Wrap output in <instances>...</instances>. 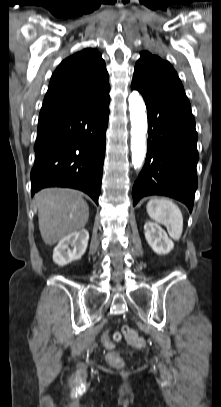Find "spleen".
<instances>
[{
  "label": "spleen",
  "instance_id": "1",
  "mask_svg": "<svg viewBox=\"0 0 221 407\" xmlns=\"http://www.w3.org/2000/svg\"><path fill=\"white\" fill-rule=\"evenodd\" d=\"M146 208L151 219L166 226L169 235L179 240L183 231V216L175 203L166 198H153Z\"/></svg>",
  "mask_w": 221,
  "mask_h": 407
}]
</instances>
